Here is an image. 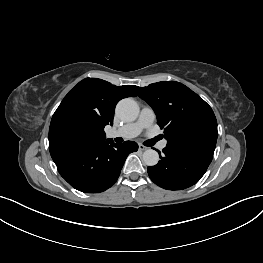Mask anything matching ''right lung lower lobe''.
<instances>
[{
    "instance_id": "98d812e1",
    "label": "right lung lower lobe",
    "mask_w": 263,
    "mask_h": 263,
    "mask_svg": "<svg viewBox=\"0 0 263 263\" xmlns=\"http://www.w3.org/2000/svg\"><path fill=\"white\" fill-rule=\"evenodd\" d=\"M137 150L138 144L133 141L113 144L108 139L107 142L58 155L53 161L60 175L75 189L99 193L117 181L127 156Z\"/></svg>"
}]
</instances>
